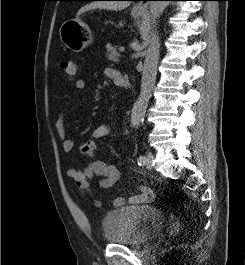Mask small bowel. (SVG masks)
<instances>
[{
  "mask_svg": "<svg viewBox=\"0 0 245 265\" xmlns=\"http://www.w3.org/2000/svg\"><path fill=\"white\" fill-rule=\"evenodd\" d=\"M105 74L112 78L120 74L115 69L107 68ZM74 89L76 91H84L87 89V83L84 80H78L74 84ZM55 129L58 137L62 141V148L66 152H70L74 148V142L66 136L65 129V115L60 114L55 123ZM111 134V128L107 124H100L96 126L92 131V137L94 139L106 138ZM67 175L71 178L76 185L79 193L85 197L93 196V190L91 188V181L94 178H98V185L101 188H110L116 184L121 176V172L117 166L113 164L106 163L102 160H93L89 162L85 167L81 169L69 168L67 170ZM139 194L134 195L129 198V203L131 204H144L150 203L155 199L154 191L147 186H139ZM125 199L122 197H117L113 200V207L119 208L125 205ZM93 203L100 207L102 203L94 198Z\"/></svg>",
  "mask_w": 245,
  "mask_h": 265,
  "instance_id": "c3829d8e",
  "label": "small bowel"
}]
</instances>
